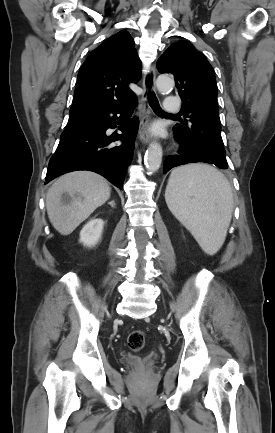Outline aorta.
<instances>
[{"label": "aorta", "mask_w": 275, "mask_h": 433, "mask_svg": "<svg viewBox=\"0 0 275 433\" xmlns=\"http://www.w3.org/2000/svg\"><path fill=\"white\" fill-rule=\"evenodd\" d=\"M156 85L159 91H168L174 87V80L168 75H160L157 78ZM162 147L159 143L153 142L150 144L146 155H145V165L149 172L157 171L162 162Z\"/></svg>", "instance_id": "762f6f07"}]
</instances>
